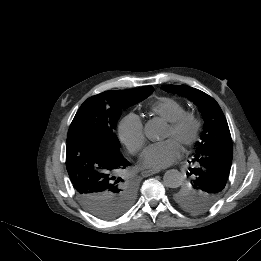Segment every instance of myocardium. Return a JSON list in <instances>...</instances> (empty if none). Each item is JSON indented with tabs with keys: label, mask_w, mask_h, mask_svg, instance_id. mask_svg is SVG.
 <instances>
[{
	"label": "myocardium",
	"mask_w": 261,
	"mask_h": 261,
	"mask_svg": "<svg viewBox=\"0 0 261 261\" xmlns=\"http://www.w3.org/2000/svg\"><path fill=\"white\" fill-rule=\"evenodd\" d=\"M188 124L191 125V131L182 140V144L185 147L194 145L199 139L201 128H202L201 117L195 111L185 110L174 120L169 122V126L175 132H181Z\"/></svg>",
	"instance_id": "1"
}]
</instances>
